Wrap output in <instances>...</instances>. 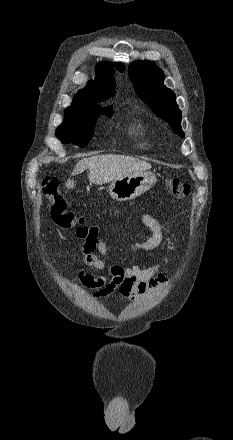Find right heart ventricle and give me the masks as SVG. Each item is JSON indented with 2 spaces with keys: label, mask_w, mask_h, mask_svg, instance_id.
I'll list each match as a JSON object with an SVG mask.
<instances>
[{
  "label": "right heart ventricle",
  "mask_w": 233,
  "mask_h": 440,
  "mask_svg": "<svg viewBox=\"0 0 233 440\" xmlns=\"http://www.w3.org/2000/svg\"><path fill=\"white\" fill-rule=\"evenodd\" d=\"M131 132L139 136H144L147 130L143 124L137 123L131 128Z\"/></svg>",
  "instance_id": "1"
}]
</instances>
